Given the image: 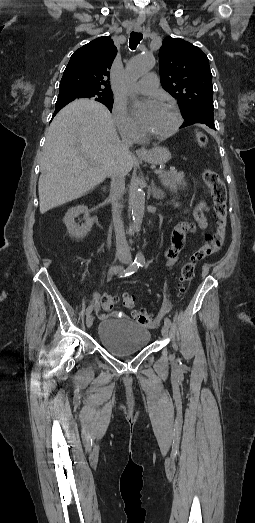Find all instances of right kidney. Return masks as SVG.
I'll return each mask as SVG.
<instances>
[{
    "mask_svg": "<svg viewBox=\"0 0 255 523\" xmlns=\"http://www.w3.org/2000/svg\"><path fill=\"white\" fill-rule=\"evenodd\" d=\"M79 214H84L85 216V224H83V226H77V224H75V218H77ZM63 222L66 224L67 232H69L71 238H76V240L84 238V236L90 232L94 224L93 218H90L89 216L87 206H76V208H70V210L66 212Z\"/></svg>",
    "mask_w": 255,
    "mask_h": 523,
    "instance_id": "right-kidney-1",
    "label": "right kidney"
}]
</instances>
